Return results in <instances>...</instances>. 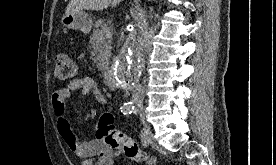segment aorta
Segmentation results:
<instances>
[{"instance_id":"obj_1","label":"aorta","mask_w":276,"mask_h":165,"mask_svg":"<svg viewBox=\"0 0 276 165\" xmlns=\"http://www.w3.org/2000/svg\"><path fill=\"white\" fill-rule=\"evenodd\" d=\"M142 52L143 44L139 37L134 32L130 33L113 68V77L120 86L128 87L142 71Z\"/></svg>"}]
</instances>
